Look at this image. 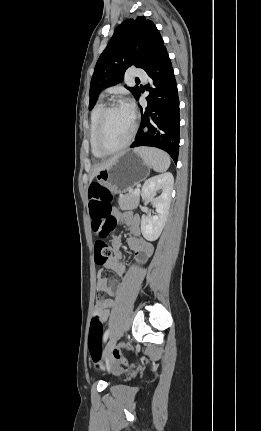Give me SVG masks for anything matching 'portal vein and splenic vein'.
Returning a JSON list of instances; mask_svg holds the SVG:
<instances>
[{
	"instance_id": "obj_1",
	"label": "portal vein and splenic vein",
	"mask_w": 261,
	"mask_h": 431,
	"mask_svg": "<svg viewBox=\"0 0 261 431\" xmlns=\"http://www.w3.org/2000/svg\"><path fill=\"white\" fill-rule=\"evenodd\" d=\"M134 193H135V194L140 193V188H139V187L135 188Z\"/></svg>"
}]
</instances>
